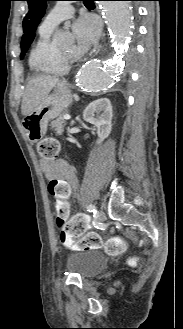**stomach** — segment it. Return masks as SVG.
<instances>
[{"label":"stomach","instance_id":"1","mask_svg":"<svg viewBox=\"0 0 183 329\" xmlns=\"http://www.w3.org/2000/svg\"><path fill=\"white\" fill-rule=\"evenodd\" d=\"M73 98L67 83L59 82L52 94L43 98L23 119V128L30 142L36 143L44 137L50 120L65 113Z\"/></svg>","mask_w":183,"mask_h":329}]
</instances>
